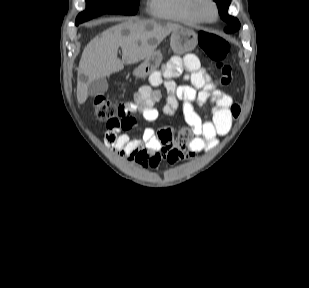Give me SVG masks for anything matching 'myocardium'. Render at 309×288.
Masks as SVG:
<instances>
[{"mask_svg":"<svg viewBox=\"0 0 309 288\" xmlns=\"http://www.w3.org/2000/svg\"><path fill=\"white\" fill-rule=\"evenodd\" d=\"M204 4H210L213 7L214 12H215V15L213 18H208L205 16L203 12ZM193 12L201 22H205V23H214L220 17V9H219V5L216 0H193Z\"/></svg>","mask_w":309,"mask_h":288,"instance_id":"myocardium-1","label":"myocardium"}]
</instances>
